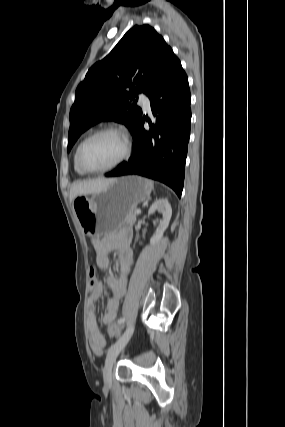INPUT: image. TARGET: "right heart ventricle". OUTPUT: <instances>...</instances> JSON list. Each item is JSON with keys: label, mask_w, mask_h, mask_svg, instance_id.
Returning <instances> with one entry per match:
<instances>
[{"label": "right heart ventricle", "mask_w": 285, "mask_h": 427, "mask_svg": "<svg viewBox=\"0 0 285 427\" xmlns=\"http://www.w3.org/2000/svg\"><path fill=\"white\" fill-rule=\"evenodd\" d=\"M79 145H80V144H79ZM79 145L77 146V148H76V150H75V152H74L73 163H74V169H75V171H76L78 174H80V175H84V174H86V173L80 169V167L78 166V163H77V151H78V147H79Z\"/></svg>", "instance_id": "1"}]
</instances>
